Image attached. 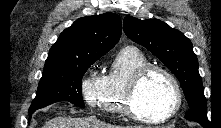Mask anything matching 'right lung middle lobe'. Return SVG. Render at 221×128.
I'll return each mask as SVG.
<instances>
[{"label":"right lung middle lobe","instance_id":"dd1d6c3e","mask_svg":"<svg viewBox=\"0 0 221 128\" xmlns=\"http://www.w3.org/2000/svg\"><path fill=\"white\" fill-rule=\"evenodd\" d=\"M98 59L43 71L36 97L29 108V114L58 101H68L79 107H84L81 95L82 77Z\"/></svg>","mask_w":221,"mask_h":128}]
</instances>
